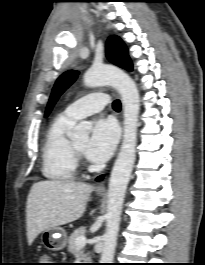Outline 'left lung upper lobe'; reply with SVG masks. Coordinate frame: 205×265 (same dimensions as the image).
<instances>
[{"mask_svg": "<svg viewBox=\"0 0 205 265\" xmlns=\"http://www.w3.org/2000/svg\"><path fill=\"white\" fill-rule=\"evenodd\" d=\"M106 53L110 62L126 69L127 71H132L133 67L128 56V50L124 42L119 37L111 36L108 38ZM78 74V71L69 70L57 79L46 108L45 117L49 115L59 96L76 80Z\"/></svg>", "mask_w": 205, "mask_h": 265, "instance_id": "obj_1", "label": "left lung upper lobe"}]
</instances>
